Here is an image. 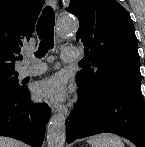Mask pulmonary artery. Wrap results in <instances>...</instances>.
<instances>
[{"instance_id":"e3ab8cb5","label":"pulmonary artery","mask_w":145,"mask_h":147,"mask_svg":"<svg viewBox=\"0 0 145 147\" xmlns=\"http://www.w3.org/2000/svg\"><path fill=\"white\" fill-rule=\"evenodd\" d=\"M82 55V52L76 48H66L62 52V60L64 62H71L78 60ZM47 70V67L35 61L34 58L31 56H26L23 61V66L19 70L20 77H27V76H36L44 73Z\"/></svg>"}]
</instances>
